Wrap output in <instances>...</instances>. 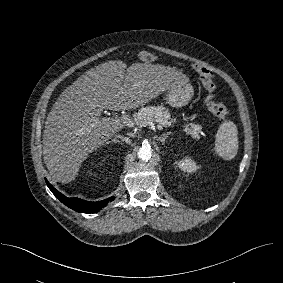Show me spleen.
<instances>
[{"label":"spleen","instance_id":"obj_1","mask_svg":"<svg viewBox=\"0 0 283 283\" xmlns=\"http://www.w3.org/2000/svg\"><path fill=\"white\" fill-rule=\"evenodd\" d=\"M215 154L225 160L233 159L238 151V130L235 123L231 120H225L216 134Z\"/></svg>","mask_w":283,"mask_h":283}]
</instances>
